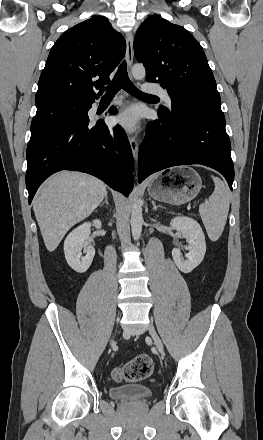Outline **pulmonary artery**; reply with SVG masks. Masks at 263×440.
Returning a JSON list of instances; mask_svg holds the SVG:
<instances>
[{
  "mask_svg": "<svg viewBox=\"0 0 263 440\" xmlns=\"http://www.w3.org/2000/svg\"><path fill=\"white\" fill-rule=\"evenodd\" d=\"M142 90L146 93L157 94L162 97L166 103L171 104V98L161 87H142Z\"/></svg>",
  "mask_w": 263,
  "mask_h": 440,
  "instance_id": "e3ab8cb5",
  "label": "pulmonary artery"
}]
</instances>
